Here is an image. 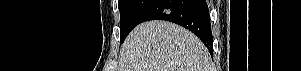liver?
<instances>
[{"mask_svg":"<svg viewBox=\"0 0 301 71\" xmlns=\"http://www.w3.org/2000/svg\"><path fill=\"white\" fill-rule=\"evenodd\" d=\"M119 71H211L207 48L192 32L155 20L136 26L119 55Z\"/></svg>","mask_w":301,"mask_h":71,"instance_id":"6515ba94","label":"liver"}]
</instances>
